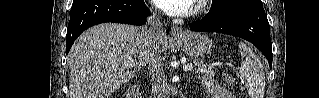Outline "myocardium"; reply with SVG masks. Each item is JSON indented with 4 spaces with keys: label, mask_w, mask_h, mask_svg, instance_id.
I'll return each instance as SVG.
<instances>
[{
    "label": "myocardium",
    "mask_w": 319,
    "mask_h": 98,
    "mask_svg": "<svg viewBox=\"0 0 319 98\" xmlns=\"http://www.w3.org/2000/svg\"><path fill=\"white\" fill-rule=\"evenodd\" d=\"M206 1H197L193 13H199L204 9Z\"/></svg>",
    "instance_id": "1"
}]
</instances>
